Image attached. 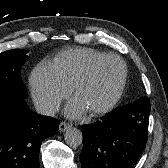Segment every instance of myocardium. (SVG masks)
<instances>
[{"mask_svg": "<svg viewBox=\"0 0 168 168\" xmlns=\"http://www.w3.org/2000/svg\"><path fill=\"white\" fill-rule=\"evenodd\" d=\"M107 60H116L119 63L121 68V77L108 101L102 106L89 111L92 116H99L108 113L121 98L127 81V67L125 62L115 54H105L93 61L73 86V95L76 97L80 90L93 79L98 67Z\"/></svg>", "mask_w": 168, "mask_h": 168, "instance_id": "myocardium-1", "label": "myocardium"}]
</instances>
